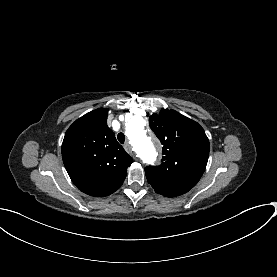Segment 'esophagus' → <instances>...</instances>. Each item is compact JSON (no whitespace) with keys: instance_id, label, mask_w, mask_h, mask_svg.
Wrapping results in <instances>:
<instances>
[{"instance_id":"obj_1","label":"esophagus","mask_w":277,"mask_h":277,"mask_svg":"<svg viewBox=\"0 0 277 277\" xmlns=\"http://www.w3.org/2000/svg\"><path fill=\"white\" fill-rule=\"evenodd\" d=\"M124 148L128 153H130V152L132 153V147L128 141L124 144ZM133 157L136 160V157L135 156H133Z\"/></svg>"}]
</instances>
